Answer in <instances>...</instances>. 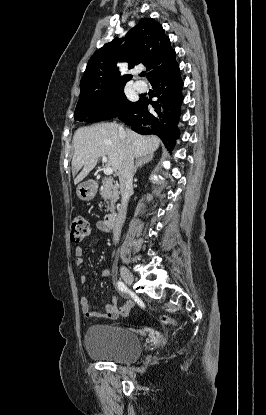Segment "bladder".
Wrapping results in <instances>:
<instances>
[{
    "instance_id": "1",
    "label": "bladder",
    "mask_w": 266,
    "mask_h": 415,
    "mask_svg": "<svg viewBox=\"0 0 266 415\" xmlns=\"http://www.w3.org/2000/svg\"><path fill=\"white\" fill-rule=\"evenodd\" d=\"M84 344L90 357L115 363L134 362L143 351L136 334L111 324L90 326L85 334Z\"/></svg>"
}]
</instances>
